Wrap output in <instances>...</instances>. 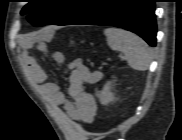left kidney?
<instances>
[{
    "label": "left kidney",
    "instance_id": "1",
    "mask_svg": "<svg viewBox=\"0 0 182 140\" xmlns=\"http://www.w3.org/2000/svg\"><path fill=\"white\" fill-rule=\"evenodd\" d=\"M112 82L108 81L103 90L98 94L99 101L102 105H108L110 102L115 100L114 94L111 92Z\"/></svg>",
    "mask_w": 182,
    "mask_h": 140
}]
</instances>
